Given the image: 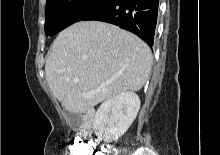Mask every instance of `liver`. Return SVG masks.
<instances>
[{"mask_svg": "<svg viewBox=\"0 0 220 155\" xmlns=\"http://www.w3.org/2000/svg\"><path fill=\"white\" fill-rule=\"evenodd\" d=\"M151 66L150 48L134 34L104 22L81 21L54 40L45 76L63 107L80 113L122 92L139 91Z\"/></svg>", "mask_w": 220, "mask_h": 155, "instance_id": "obj_1", "label": "liver"}]
</instances>
